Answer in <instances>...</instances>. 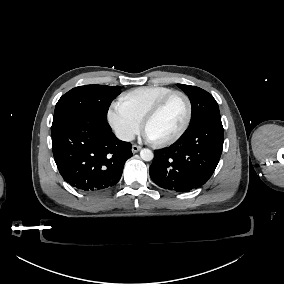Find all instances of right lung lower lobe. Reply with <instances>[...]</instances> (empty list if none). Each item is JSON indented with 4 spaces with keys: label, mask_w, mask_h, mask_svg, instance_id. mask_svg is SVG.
Segmentation results:
<instances>
[{
    "label": "right lung lower lobe",
    "mask_w": 284,
    "mask_h": 284,
    "mask_svg": "<svg viewBox=\"0 0 284 284\" xmlns=\"http://www.w3.org/2000/svg\"><path fill=\"white\" fill-rule=\"evenodd\" d=\"M53 155L60 174L71 186L97 192L117 184L131 144L116 138L107 121L78 113L52 126Z\"/></svg>",
    "instance_id": "obj_1"
}]
</instances>
